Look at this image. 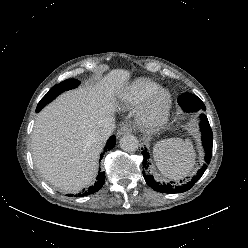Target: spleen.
<instances>
[{"label":"spleen","instance_id":"1","mask_svg":"<svg viewBox=\"0 0 248 248\" xmlns=\"http://www.w3.org/2000/svg\"><path fill=\"white\" fill-rule=\"evenodd\" d=\"M157 168L167 178L180 180L187 176L195 164V151L189 139H165L153 148Z\"/></svg>","mask_w":248,"mask_h":248}]
</instances>
